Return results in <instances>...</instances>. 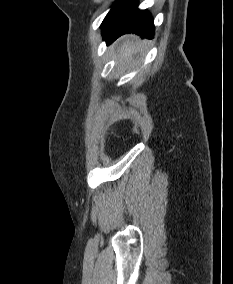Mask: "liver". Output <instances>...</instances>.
Returning a JSON list of instances; mask_svg holds the SVG:
<instances>
[{
    "mask_svg": "<svg viewBox=\"0 0 233 284\" xmlns=\"http://www.w3.org/2000/svg\"><path fill=\"white\" fill-rule=\"evenodd\" d=\"M142 43L143 42L140 40H136L135 42L133 40H128L120 50V58L131 57L135 51L139 50V46H141Z\"/></svg>",
    "mask_w": 233,
    "mask_h": 284,
    "instance_id": "1",
    "label": "liver"
}]
</instances>
